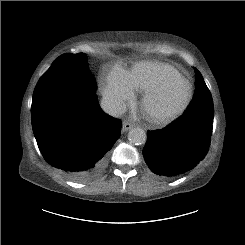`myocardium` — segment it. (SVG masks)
Returning <instances> with one entry per match:
<instances>
[{"mask_svg": "<svg viewBox=\"0 0 245 245\" xmlns=\"http://www.w3.org/2000/svg\"><path fill=\"white\" fill-rule=\"evenodd\" d=\"M178 79L183 80L187 85V92L182 101L176 107L159 110L154 107L155 101L160 98ZM194 95L193 86L189 79L181 73H176L172 78L163 84L150 88L144 92L141 109L145 118L153 124H164L170 122L186 111Z\"/></svg>", "mask_w": 245, "mask_h": 245, "instance_id": "obj_1", "label": "myocardium"}]
</instances>
